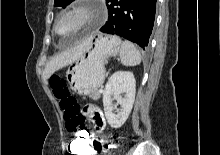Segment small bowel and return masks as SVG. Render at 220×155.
Here are the masks:
<instances>
[{
    "label": "small bowel",
    "mask_w": 220,
    "mask_h": 155,
    "mask_svg": "<svg viewBox=\"0 0 220 155\" xmlns=\"http://www.w3.org/2000/svg\"><path fill=\"white\" fill-rule=\"evenodd\" d=\"M83 113H85L86 119H90L92 121L94 128L97 132L103 130V128L105 127V119L102 112L99 110L98 105H84ZM94 139L95 138L92 139V147H91L90 155L95 152L93 149Z\"/></svg>",
    "instance_id": "c3829d8e"
}]
</instances>
